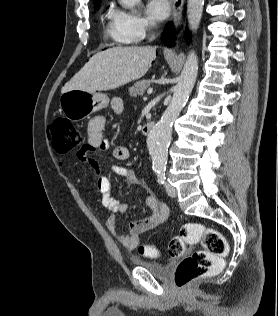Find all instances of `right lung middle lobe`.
Masks as SVG:
<instances>
[{"label": "right lung middle lobe", "instance_id": "obj_1", "mask_svg": "<svg viewBox=\"0 0 278 316\" xmlns=\"http://www.w3.org/2000/svg\"><path fill=\"white\" fill-rule=\"evenodd\" d=\"M100 3H101V1H99V2H97V3L94 4V9H95V10H98V9H99Z\"/></svg>", "mask_w": 278, "mask_h": 316}]
</instances>
